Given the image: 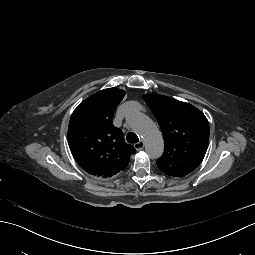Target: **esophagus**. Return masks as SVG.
<instances>
[{
	"mask_svg": "<svg viewBox=\"0 0 255 255\" xmlns=\"http://www.w3.org/2000/svg\"><path fill=\"white\" fill-rule=\"evenodd\" d=\"M134 147L137 151H140L144 148V141L140 140L139 142L134 144Z\"/></svg>",
	"mask_w": 255,
	"mask_h": 255,
	"instance_id": "34e87169",
	"label": "esophagus"
}]
</instances>
